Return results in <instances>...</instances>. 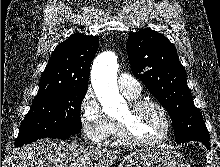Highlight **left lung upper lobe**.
Here are the masks:
<instances>
[{"mask_svg":"<svg viewBox=\"0 0 220 167\" xmlns=\"http://www.w3.org/2000/svg\"><path fill=\"white\" fill-rule=\"evenodd\" d=\"M126 47L133 74L171 117L175 141L210 140L174 45L162 34L143 29L129 35Z\"/></svg>","mask_w":220,"mask_h":167,"instance_id":"1","label":"left lung upper lobe"}]
</instances>
